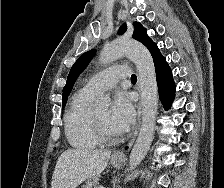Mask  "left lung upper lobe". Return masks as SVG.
Listing matches in <instances>:
<instances>
[{
    "label": "left lung upper lobe",
    "mask_w": 224,
    "mask_h": 188,
    "mask_svg": "<svg viewBox=\"0 0 224 188\" xmlns=\"http://www.w3.org/2000/svg\"><path fill=\"white\" fill-rule=\"evenodd\" d=\"M134 26H135V32L133 34V38L140 41L141 43H143L149 49V51L153 57L154 63H156L160 59H162L163 56L159 52L156 44H154L151 41V39L148 37L144 27L138 22H135ZM125 29H126V25L124 24L123 26H121V28L119 30V34L123 33L125 31ZM94 53H95V50H90V51L82 54L80 56V58L72 66V68L69 72V75L67 77V83L63 88L62 108H64V106L66 104L68 95H69L70 91L72 90V87H73L77 77L86 68V66L90 62L91 58L93 57Z\"/></svg>",
    "instance_id": "obj_1"
}]
</instances>
